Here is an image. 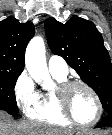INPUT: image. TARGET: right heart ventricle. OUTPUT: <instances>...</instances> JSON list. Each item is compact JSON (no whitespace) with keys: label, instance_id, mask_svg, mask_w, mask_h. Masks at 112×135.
Returning <instances> with one entry per match:
<instances>
[{"label":"right heart ventricle","instance_id":"obj_1","mask_svg":"<svg viewBox=\"0 0 112 135\" xmlns=\"http://www.w3.org/2000/svg\"><path fill=\"white\" fill-rule=\"evenodd\" d=\"M57 85L67 81L66 76L52 74ZM29 118L57 126H66L71 122L61 113L55 97V89L38 93L36 104L27 112Z\"/></svg>","mask_w":112,"mask_h":135}]
</instances>
